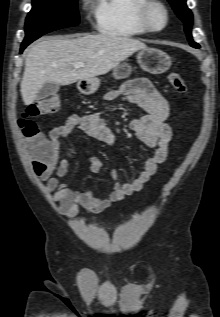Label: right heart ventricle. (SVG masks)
Returning <instances> with one entry per match:
<instances>
[{
	"mask_svg": "<svg viewBox=\"0 0 220 317\" xmlns=\"http://www.w3.org/2000/svg\"><path fill=\"white\" fill-rule=\"evenodd\" d=\"M145 0H96L98 30L109 36L135 37L149 31L141 24L138 9Z\"/></svg>",
	"mask_w": 220,
	"mask_h": 317,
	"instance_id": "e07e8e85",
	"label": "right heart ventricle"
}]
</instances>
